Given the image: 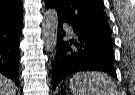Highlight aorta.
Wrapping results in <instances>:
<instances>
[{
	"instance_id": "aorta-1",
	"label": "aorta",
	"mask_w": 135,
	"mask_h": 95,
	"mask_svg": "<svg viewBox=\"0 0 135 95\" xmlns=\"http://www.w3.org/2000/svg\"><path fill=\"white\" fill-rule=\"evenodd\" d=\"M58 13L55 9H48L42 21V38L47 51H54L57 44Z\"/></svg>"
}]
</instances>
